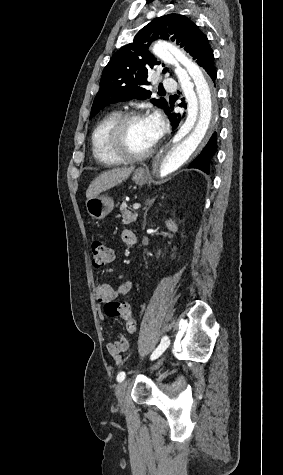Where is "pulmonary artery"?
Here are the masks:
<instances>
[{
	"instance_id": "e3ab8cb5",
	"label": "pulmonary artery",
	"mask_w": 283,
	"mask_h": 475,
	"mask_svg": "<svg viewBox=\"0 0 283 475\" xmlns=\"http://www.w3.org/2000/svg\"><path fill=\"white\" fill-rule=\"evenodd\" d=\"M170 85H171V87H175V83H174V82L171 83ZM162 87H163V88H168V87H169V82H168V81H163V82H162Z\"/></svg>"
}]
</instances>
